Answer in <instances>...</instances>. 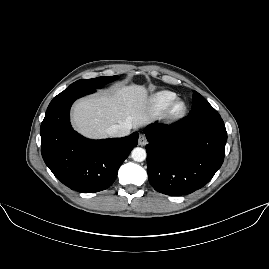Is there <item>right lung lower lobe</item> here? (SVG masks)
<instances>
[{
	"label": "right lung lower lobe",
	"instance_id": "98d812e1",
	"mask_svg": "<svg viewBox=\"0 0 269 269\" xmlns=\"http://www.w3.org/2000/svg\"><path fill=\"white\" fill-rule=\"evenodd\" d=\"M95 89L67 88L48 106L41 124V153L56 178L72 190L95 193L115 181L118 169L137 146L138 133L123 138L89 140L70 124L69 111L79 97Z\"/></svg>",
	"mask_w": 269,
	"mask_h": 269
}]
</instances>
